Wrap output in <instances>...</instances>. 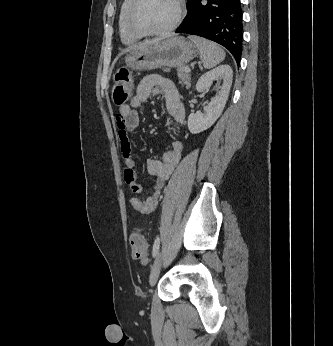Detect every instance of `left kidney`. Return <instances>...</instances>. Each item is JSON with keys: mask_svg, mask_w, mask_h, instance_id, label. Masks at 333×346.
I'll return each mask as SVG.
<instances>
[{"mask_svg": "<svg viewBox=\"0 0 333 346\" xmlns=\"http://www.w3.org/2000/svg\"><path fill=\"white\" fill-rule=\"evenodd\" d=\"M233 71L229 65H220L215 69L203 74L197 84L198 92L217 81L218 93L211 99V102L204 107V113L196 112L188 116V129L192 134H198L210 128L222 114L232 85Z\"/></svg>", "mask_w": 333, "mask_h": 346, "instance_id": "left-kidney-1", "label": "left kidney"}]
</instances>
